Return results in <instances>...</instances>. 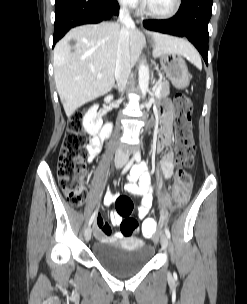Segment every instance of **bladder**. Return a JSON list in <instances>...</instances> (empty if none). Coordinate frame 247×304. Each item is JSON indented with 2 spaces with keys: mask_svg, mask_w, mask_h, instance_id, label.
I'll return each instance as SVG.
<instances>
[{
  "mask_svg": "<svg viewBox=\"0 0 247 304\" xmlns=\"http://www.w3.org/2000/svg\"><path fill=\"white\" fill-rule=\"evenodd\" d=\"M154 254L155 249L151 245L131 239L103 240L93 247L96 261L115 274H127L143 269Z\"/></svg>",
  "mask_w": 247,
  "mask_h": 304,
  "instance_id": "obj_1",
  "label": "bladder"
}]
</instances>
